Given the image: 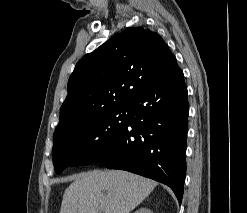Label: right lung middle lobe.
<instances>
[{
    "mask_svg": "<svg viewBox=\"0 0 247 213\" xmlns=\"http://www.w3.org/2000/svg\"><path fill=\"white\" fill-rule=\"evenodd\" d=\"M130 103L112 107L85 123L54 137L52 157L57 174L71 165H87L108 151L129 120Z\"/></svg>",
    "mask_w": 247,
    "mask_h": 213,
    "instance_id": "1",
    "label": "right lung middle lobe"
}]
</instances>
